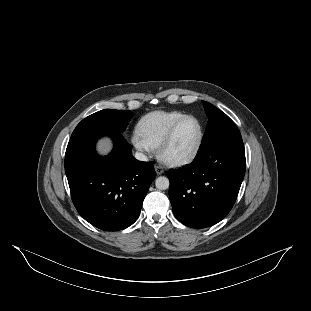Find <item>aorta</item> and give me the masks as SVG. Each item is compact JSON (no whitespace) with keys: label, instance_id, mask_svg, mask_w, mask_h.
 <instances>
[{"label":"aorta","instance_id":"762f6f07","mask_svg":"<svg viewBox=\"0 0 311 311\" xmlns=\"http://www.w3.org/2000/svg\"><path fill=\"white\" fill-rule=\"evenodd\" d=\"M155 186L160 190H167L170 186V181L167 177L160 176L155 180Z\"/></svg>","mask_w":311,"mask_h":311}]
</instances>
